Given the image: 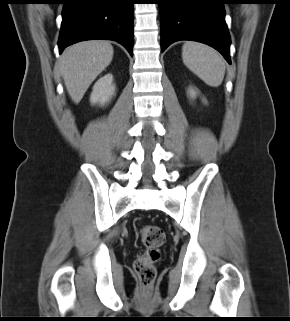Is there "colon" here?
<instances>
[{
	"instance_id": "colon-1",
	"label": "colon",
	"mask_w": 290,
	"mask_h": 321,
	"mask_svg": "<svg viewBox=\"0 0 290 321\" xmlns=\"http://www.w3.org/2000/svg\"><path fill=\"white\" fill-rule=\"evenodd\" d=\"M141 239L145 252L135 261L134 269L142 285L148 287L156 276L155 264L160 259L165 234L159 226L147 225L141 229Z\"/></svg>"
}]
</instances>
